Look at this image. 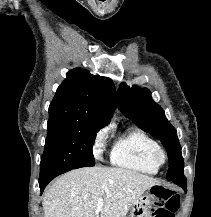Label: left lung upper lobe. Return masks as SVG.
Here are the masks:
<instances>
[{
    "label": "left lung upper lobe",
    "instance_id": "obj_1",
    "mask_svg": "<svg viewBox=\"0 0 211 217\" xmlns=\"http://www.w3.org/2000/svg\"><path fill=\"white\" fill-rule=\"evenodd\" d=\"M118 99V106L123 114L164 145L169 157L167 179L176 184H186L184 160L176 129L166 119L163 109L152 100L150 91L136 86L130 88L122 83Z\"/></svg>",
    "mask_w": 211,
    "mask_h": 217
}]
</instances>
